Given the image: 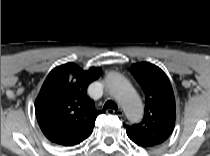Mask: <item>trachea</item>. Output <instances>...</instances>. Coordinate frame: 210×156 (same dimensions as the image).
Here are the masks:
<instances>
[{"instance_id":"trachea-1","label":"trachea","mask_w":210,"mask_h":156,"mask_svg":"<svg viewBox=\"0 0 210 156\" xmlns=\"http://www.w3.org/2000/svg\"><path fill=\"white\" fill-rule=\"evenodd\" d=\"M117 105L113 102V101H107L104 106H103V109H115L117 110Z\"/></svg>"}]
</instances>
